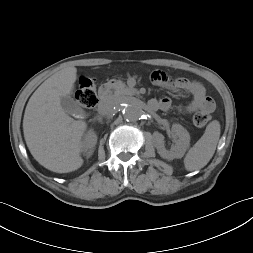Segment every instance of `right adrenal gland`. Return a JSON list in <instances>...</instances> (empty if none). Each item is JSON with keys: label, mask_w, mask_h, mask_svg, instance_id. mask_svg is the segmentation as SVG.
I'll return each mask as SVG.
<instances>
[{"label": "right adrenal gland", "mask_w": 253, "mask_h": 253, "mask_svg": "<svg viewBox=\"0 0 253 253\" xmlns=\"http://www.w3.org/2000/svg\"><path fill=\"white\" fill-rule=\"evenodd\" d=\"M95 119H96V120H98V122H102V120H101V117H100V116H97Z\"/></svg>", "instance_id": "2a0ac1e0"}]
</instances>
